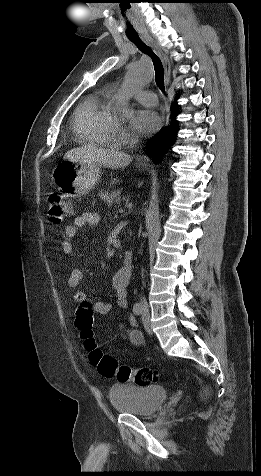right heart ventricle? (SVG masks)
Returning <instances> with one entry per match:
<instances>
[{"label":"right heart ventricle","mask_w":261,"mask_h":476,"mask_svg":"<svg viewBox=\"0 0 261 476\" xmlns=\"http://www.w3.org/2000/svg\"><path fill=\"white\" fill-rule=\"evenodd\" d=\"M111 94L107 91L89 94L74 113V131L81 143L109 146L114 142L117 126L109 111Z\"/></svg>","instance_id":"1"}]
</instances>
